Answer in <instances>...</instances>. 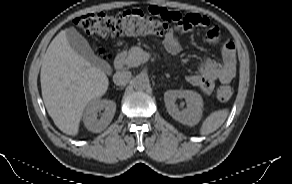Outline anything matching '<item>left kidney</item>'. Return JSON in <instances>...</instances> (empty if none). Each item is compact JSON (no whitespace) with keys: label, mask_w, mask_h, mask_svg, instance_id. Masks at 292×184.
I'll list each match as a JSON object with an SVG mask.
<instances>
[{"label":"left kidney","mask_w":292,"mask_h":184,"mask_svg":"<svg viewBox=\"0 0 292 184\" xmlns=\"http://www.w3.org/2000/svg\"><path fill=\"white\" fill-rule=\"evenodd\" d=\"M177 98H184L187 108L180 111L175 102ZM164 102L168 113L178 122L194 126L202 116L203 99L197 92L191 90H168L164 93Z\"/></svg>","instance_id":"5707ae66"}]
</instances>
